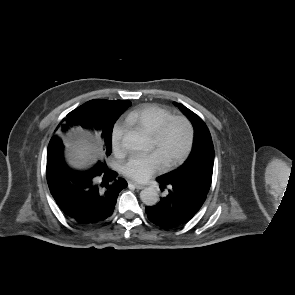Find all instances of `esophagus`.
Segmentation results:
<instances>
[{"label": "esophagus", "mask_w": 295, "mask_h": 295, "mask_svg": "<svg viewBox=\"0 0 295 295\" xmlns=\"http://www.w3.org/2000/svg\"><path fill=\"white\" fill-rule=\"evenodd\" d=\"M130 183L136 188V189H143L144 188V185H141L139 183H136L134 181H130Z\"/></svg>", "instance_id": "esophagus-1"}]
</instances>
